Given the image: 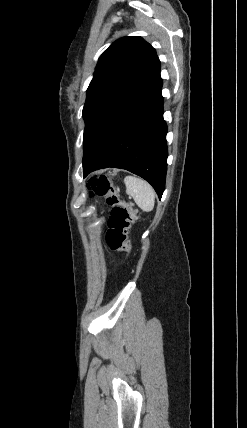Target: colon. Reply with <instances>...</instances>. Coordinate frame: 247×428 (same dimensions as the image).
Here are the masks:
<instances>
[{
	"label": "colon",
	"instance_id": "colon-1",
	"mask_svg": "<svg viewBox=\"0 0 247 428\" xmlns=\"http://www.w3.org/2000/svg\"><path fill=\"white\" fill-rule=\"evenodd\" d=\"M89 187L93 194L105 196L107 204L112 206L105 235L107 247L112 251L131 252L133 246L128 233L136 219V210L120 198L114 184L104 176L91 178Z\"/></svg>",
	"mask_w": 247,
	"mask_h": 428
}]
</instances>
